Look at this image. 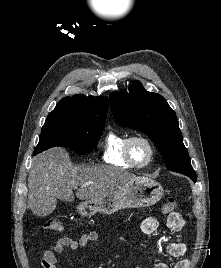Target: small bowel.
Listing matches in <instances>:
<instances>
[{"instance_id":"1","label":"small bowel","mask_w":221,"mask_h":268,"mask_svg":"<svg viewBox=\"0 0 221 268\" xmlns=\"http://www.w3.org/2000/svg\"><path fill=\"white\" fill-rule=\"evenodd\" d=\"M165 226L172 232H178L184 226V219L180 214L173 212L172 214L168 215L165 221ZM140 227L141 231L144 234L150 235L158 230L160 223L156 218L148 217L142 221ZM97 239L98 234L95 231L84 233L77 239L70 237H61L51 248L43 252L41 264L43 268H58V256L61 255L66 248L76 250L80 247L87 246L89 243L95 242ZM165 250L168 256L172 258H180L185 255L187 251V245L181 241L170 242L166 245ZM188 267L189 261L183 259L178 261L173 268ZM154 268H169V266L164 262H158Z\"/></svg>"}]
</instances>
